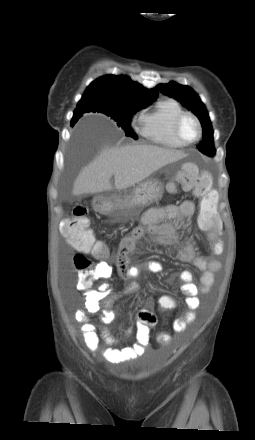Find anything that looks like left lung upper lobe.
<instances>
[{
  "label": "left lung upper lobe",
  "instance_id": "obj_1",
  "mask_svg": "<svg viewBox=\"0 0 255 440\" xmlns=\"http://www.w3.org/2000/svg\"><path fill=\"white\" fill-rule=\"evenodd\" d=\"M157 88L166 95L174 97L185 107L191 110L200 120L203 128V140L197 146L198 150L208 156L215 154L213 143V130L208 112L199 96L188 86L176 82L159 84Z\"/></svg>",
  "mask_w": 255,
  "mask_h": 440
}]
</instances>
